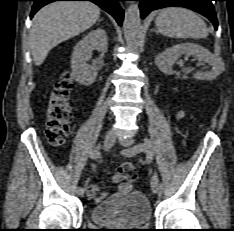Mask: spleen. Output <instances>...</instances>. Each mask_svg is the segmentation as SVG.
<instances>
[{"mask_svg":"<svg viewBox=\"0 0 234 231\" xmlns=\"http://www.w3.org/2000/svg\"><path fill=\"white\" fill-rule=\"evenodd\" d=\"M159 33L176 39H202L208 36L205 22L193 11L182 7H168L155 19Z\"/></svg>","mask_w":234,"mask_h":231,"instance_id":"3e777b00","label":"spleen"}]
</instances>
